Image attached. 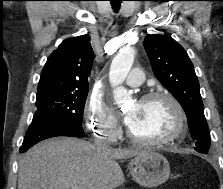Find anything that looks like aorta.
<instances>
[{
	"label": "aorta",
	"instance_id": "1",
	"mask_svg": "<svg viewBox=\"0 0 223 189\" xmlns=\"http://www.w3.org/2000/svg\"><path fill=\"white\" fill-rule=\"evenodd\" d=\"M135 51L131 47L122 48L119 53L114 57L109 72V81L114 87L113 95L115 103L125 108L130 104V93L121 86L126 79L134 62Z\"/></svg>",
	"mask_w": 223,
	"mask_h": 189
}]
</instances>
